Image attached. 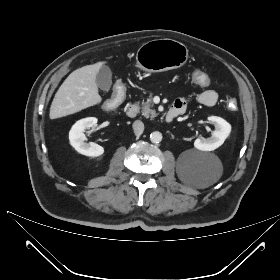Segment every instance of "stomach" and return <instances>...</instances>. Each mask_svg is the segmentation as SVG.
Instances as JSON below:
<instances>
[{
	"label": "stomach",
	"instance_id": "1",
	"mask_svg": "<svg viewBox=\"0 0 280 280\" xmlns=\"http://www.w3.org/2000/svg\"><path fill=\"white\" fill-rule=\"evenodd\" d=\"M187 47L173 39H155L141 45L136 54L138 67L145 72H163L183 66Z\"/></svg>",
	"mask_w": 280,
	"mask_h": 280
}]
</instances>
